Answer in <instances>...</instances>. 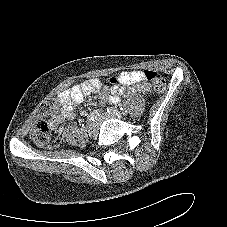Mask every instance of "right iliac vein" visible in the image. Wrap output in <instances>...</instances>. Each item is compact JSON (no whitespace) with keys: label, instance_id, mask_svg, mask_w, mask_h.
Here are the masks:
<instances>
[{"label":"right iliac vein","instance_id":"1","mask_svg":"<svg viewBox=\"0 0 227 227\" xmlns=\"http://www.w3.org/2000/svg\"><path fill=\"white\" fill-rule=\"evenodd\" d=\"M87 131L90 137H95L98 133V124L96 122H90L87 126Z\"/></svg>","mask_w":227,"mask_h":227}]
</instances>
